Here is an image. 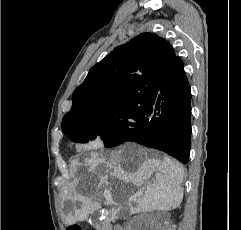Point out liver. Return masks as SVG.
<instances>
[{
    "label": "liver",
    "mask_w": 241,
    "mask_h": 230,
    "mask_svg": "<svg viewBox=\"0 0 241 230\" xmlns=\"http://www.w3.org/2000/svg\"><path fill=\"white\" fill-rule=\"evenodd\" d=\"M148 150L132 143H127L117 151L105 153L92 152L84 164L76 170V178L63 188V199L81 201L80 207H73V212L62 213L65 224L86 220L89 214L100 208L96 195L105 185L104 195H110L115 201H122L120 194L109 186V179L115 178L124 183H133L141 190L130 198L128 209L131 214L140 211H169L180 206L183 199L182 183L184 170L174 159L152 154ZM103 173V174H102ZM155 173L153 178L152 175ZM87 177H96V190L79 198L77 192L84 189ZM136 198V200H134ZM131 201L136 202L134 207Z\"/></svg>",
    "instance_id": "1"
}]
</instances>
